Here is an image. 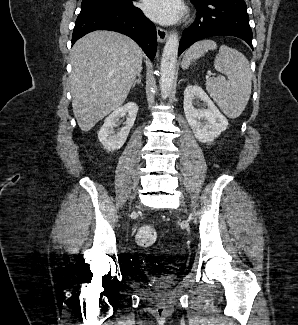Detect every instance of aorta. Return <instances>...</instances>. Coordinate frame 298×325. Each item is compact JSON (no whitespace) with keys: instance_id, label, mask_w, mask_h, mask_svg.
Here are the masks:
<instances>
[{"instance_id":"762f6f07","label":"aorta","mask_w":298,"mask_h":325,"mask_svg":"<svg viewBox=\"0 0 298 325\" xmlns=\"http://www.w3.org/2000/svg\"><path fill=\"white\" fill-rule=\"evenodd\" d=\"M180 36L177 30H171L162 50L160 62L161 98H168L174 84L176 64L179 52Z\"/></svg>"}]
</instances>
